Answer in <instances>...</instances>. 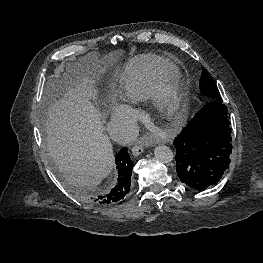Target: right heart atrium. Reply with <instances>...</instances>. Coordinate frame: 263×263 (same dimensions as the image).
Here are the masks:
<instances>
[{"instance_id": "right-heart-atrium-1", "label": "right heart atrium", "mask_w": 263, "mask_h": 263, "mask_svg": "<svg viewBox=\"0 0 263 263\" xmlns=\"http://www.w3.org/2000/svg\"><path fill=\"white\" fill-rule=\"evenodd\" d=\"M112 113L114 118L120 122L132 124L134 121L133 112L123 105H115L113 107Z\"/></svg>"}]
</instances>
